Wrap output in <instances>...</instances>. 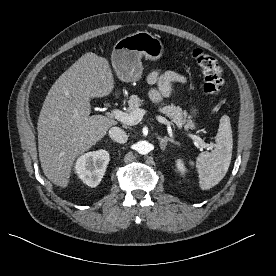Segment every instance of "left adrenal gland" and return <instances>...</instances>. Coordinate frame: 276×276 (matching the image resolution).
Returning <instances> with one entry per match:
<instances>
[{
    "instance_id": "left-adrenal-gland-1",
    "label": "left adrenal gland",
    "mask_w": 276,
    "mask_h": 276,
    "mask_svg": "<svg viewBox=\"0 0 276 276\" xmlns=\"http://www.w3.org/2000/svg\"><path fill=\"white\" fill-rule=\"evenodd\" d=\"M157 138L160 141V148L162 150L166 149V146H167L168 142H171V143H174V144H178L176 141H174L173 139H171V138H169L167 136H165L164 138L161 137V136H158Z\"/></svg>"
}]
</instances>
